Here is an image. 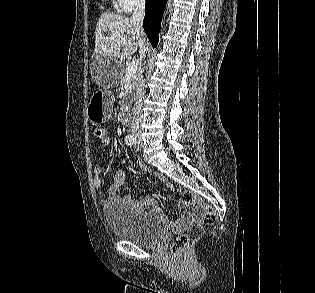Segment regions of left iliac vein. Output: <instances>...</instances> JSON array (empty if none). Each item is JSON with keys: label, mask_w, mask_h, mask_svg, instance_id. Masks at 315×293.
<instances>
[{"label": "left iliac vein", "mask_w": 315, "mask_h": 293, "mask_svg": "<svg viewBox=\"0 0 315 293\" xmlns=\"http://www.w3.org/2000/svg\"><path fill=\"white\" fill-rule=\"evenodd\" d=\"M134 146H135V148L137 150H141L142 149L143 144H142V140L139 137L136 138Z\"/></svg>", "instance_id": "4c4485c4"}]
</instances>
